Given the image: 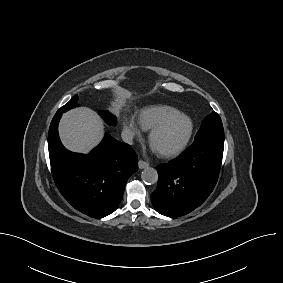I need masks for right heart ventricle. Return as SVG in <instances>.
Returning a JSON list of instances; mask_svg holds the SVG:
<instances>
[{"label": "right heart ventricle", "instance_id": "e07e8e85", "mask_svg": "<svg viewBox=\"0 0 283 283\" xmlns=\"http://www.w3.org/2000/svg\"><path fill=\"white\" fill-rule=\"evenodd\" d=\"M179 112L177 109L167 105H152L143 108L139 113L141 126L149 130L163 118Z\"/></svg>", "mask_w": 283, "mask_h": 283}]
</instances>
